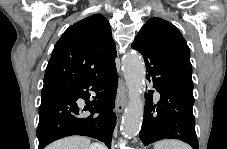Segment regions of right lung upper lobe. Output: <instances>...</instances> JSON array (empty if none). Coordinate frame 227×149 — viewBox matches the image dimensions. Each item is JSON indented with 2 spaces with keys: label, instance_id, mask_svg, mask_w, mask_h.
Segmentation results:
<instances>
[{
  "label": "right lung upper lobe",
  "instance_id": "cb5924a9",
  "mask_svg": "<svg viewBox=\"0 0 227 149\" xmlns=\"http://www.w3.org/2000/svg\"><path fill=\"white\" fill-rule=\"evenodd\" d=\"M116 45L109 22L100 14L70 26L55 44L43 89L67 87L115 60Z\"/></svg>",
  "mask_w": 227,
  "mask_h": 149
}]
</instances>
